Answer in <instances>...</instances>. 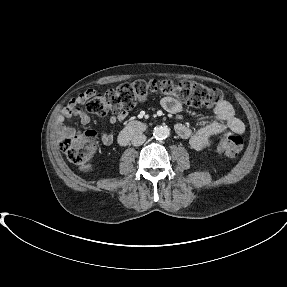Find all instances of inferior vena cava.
<instances>
[{
  "label": "inferior vena cava",
  "mask_w": 287,
  "mask_h": 287,
  "mask_svg": "<svg viewBox=\"0 0 287 287\" xmlns=\"http://www.w3.org/2000/svg\"><path fill=\"white\" fill-rule=\"evenodd\" d=\"M146 141V136L144 134H135L133 137H132V140H131V143L134 145V146H140L142 145L144 142Z\"/></svg>",
  "instance_id": "obj_1"
}]
</instances>
